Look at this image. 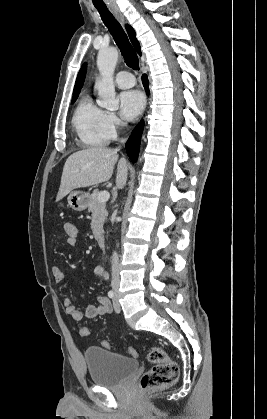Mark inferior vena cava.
Wrapping results in <instances>:
<instances>
[{"label":"inferior vena cava","mask_w":267,"mask_h":419,"mask_svg":"<svg viewBox=\"0 0 267 419\" xmlns=\"http://www.w3.org/2000/svg\"><path fill=\"white\" fill-rule=\"evenodd\" d=\"M112 281L111 285L114 290L118 289L120 284V276H119V257L116 252H113L112 256Z\"/></svg>","instance_id":"obj_1"}]
</instances>
